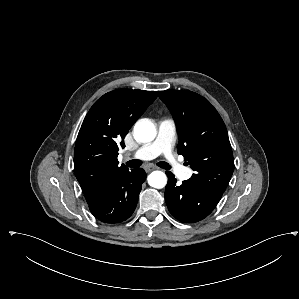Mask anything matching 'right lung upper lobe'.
I'll return each instance as SVG.
<instances>
[{
    "mask_svg": "<svg viewBox=\"0 0 299 299\" xmlns=\"http://www.w3.org/2000/svg\"><path fill=\"white\" fill-rule=\"evenodd\" d=\"M158 91L118 89L99 98L77 136L74 172L87 202L128 168L118 165V151L134 122L157 98Z\"/></svg>",
    "mask_w": 299,
    "mask_h": 299,
    "instance_id": "cb5924a9",
    "label": "right lung upper lobe"
}]
</instances>
